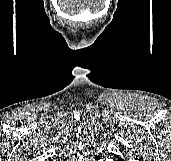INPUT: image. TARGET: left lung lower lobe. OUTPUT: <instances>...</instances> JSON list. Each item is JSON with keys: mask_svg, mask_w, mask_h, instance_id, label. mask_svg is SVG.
<instances>
[{"mask_svg": "<svg viewBox=\"0 0 171 161\" xmlns=\"http://www.w3.org/2000/svg\"><path fill=\"white\" fill-rule=\"evenodd\" d=\"M117 161H124V160L117 156Z\"/></svg>", "mask_w": 171, "mask_h": 161, "instance_id": "left-lung-lower-lobe-1", "label": "left lung lower lobe"}]
</instances>
